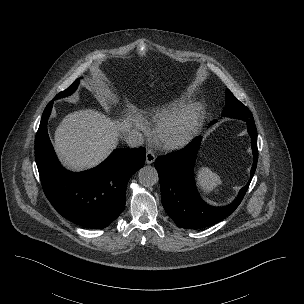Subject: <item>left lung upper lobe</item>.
Returning a JSON list of instances; mask_svg holds the SVG:
<instances>
[{
  "instance_id": "1",
  "label": "left lung upper lobe",
  "mask_w": 304,
  "mask_h": 304,
  "mask_svg": "<svg viewBox=\"0 0 304 304\" xmlns=\"http://www.w3.org/2000/svg\"><path fill=\"white\" fill-rule=\"evenodd\" d=\"M222 116L237 118L244 121H254L251 111L237 100L229 89L226 90V105L222 112Z\"/></svg>"
}]
</instances>
